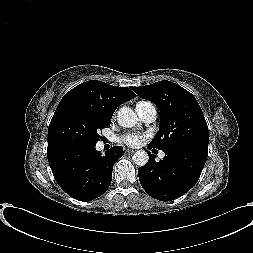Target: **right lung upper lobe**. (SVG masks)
<instances>
[{"instance_id":"obj_1","label":"right lung upper lobe","mask_w":253,"mask_h":253,"mask_svg":"<svg viewBox=\"0 0 253 253\" xmlns=\"http://www.w3.org/2000/svg\"><path fill=\"white\" fill-rule=\"evenodd\" d=\"M135 97L136 95L128 87L111 86L101 81L91 80L67 92L55 112L73 106L112 118L119 105Z\"/></svg>"}]
</instances>
